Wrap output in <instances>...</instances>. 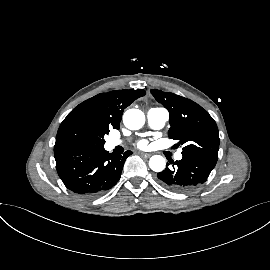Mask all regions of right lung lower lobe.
I'll use <instances>...</instances> for the list:
<instances>
[{"label":"right lung lower lobe","mask_w":270,"mask_h":270,"mask_svg":"<svg viewBox=\"0 0 270 270\" xmlns=\"http://www.w3.org/2000/svg\"><path fill=\"white\" fill-rule=\"evenodd\" d=\"M123 155L109 154L104 147L65 146L54 148L56 169L64 185L84 197H92L111 189L120 179Z\"/></svg>","instance_id":"98d812e1"}]
</instances>
